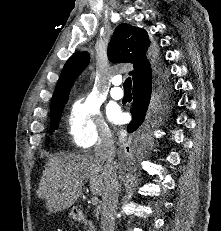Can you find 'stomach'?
Instances as JSON below:
<instances>
[{"label":"stomach","mask_w":221,"mask_h":231,"mask_svg":"<svg viewBox=\"0 0 221 231\" xmlns=\"http://www.w3.org/2000/svg\"><path fill=\"white\" fill-rule=\"evenodd\" d=\"M70 216L74 217V214H73V213H70Z\"/></svg>","instance_id":"0dacf381"}]
</instances>
